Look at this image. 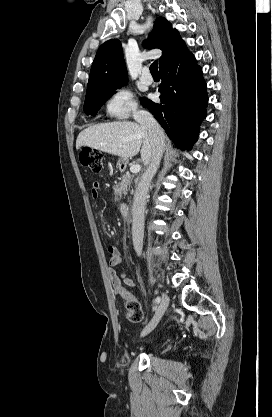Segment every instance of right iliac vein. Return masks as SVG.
I'll return each mask as SVG.
<instances>
[{
	"instance_id": "1",
	"label": "right iliac vein",
	"mask_w": 272,
	"mask_h": 417,
	"mask_svg": "<svg viewBox=\"0 0 272 417\" xmlns=\"http://www.w3.org/2000/svg\"><path fill=\"white\" fill-rule=\"evenodd\" d=\"M169 297L163 293L162 294V300L155 312V315L153 316L152 320L148 323V325L143 329L141 336L144 337L147 334H149L152 330H154V328L157 326V324L159 323V321L161 320L162 316L164 315L168 304H169Z\"/></svg>"
}]
</instances>
